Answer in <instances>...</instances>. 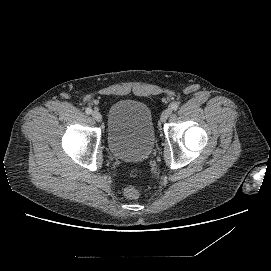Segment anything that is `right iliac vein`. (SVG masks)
I'll use <instances>...</instances> for the list:
<instances>
[{
	"instance_id": "63e3f726",
	"label": "right iliac vein",
	"mask_w": 271,
	"mask_h": 271,
	"mask_svg": "<svg viewBox=\"0 0 271 271\" xmlns=\"http://www.w3.org/2000/svg\"><path fill=\"white\" fill-rule=\"evenodd\" d=\"M92 117L97 122H101L102 121V115L98 111H93Z\"/></svg>"
}]
</instances>
